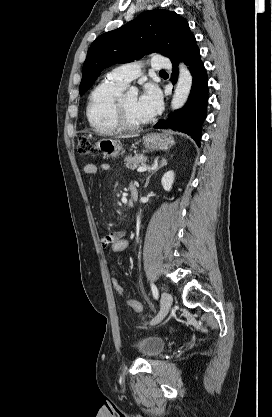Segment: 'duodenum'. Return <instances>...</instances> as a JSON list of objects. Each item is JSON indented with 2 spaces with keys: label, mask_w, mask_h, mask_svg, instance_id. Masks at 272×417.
<instances>
[{
  "label": "duodenum",
  "mask_w": 272,
  "mask_h": 417,
  "mask_svg": "<svg viewBox=\"0 0 272 417\" xmlns=\"http://www.w3.org/2000/svg\"><path fill=\"white\" fill-rule=\"evenodd\" d=\"M138 198V188L136 184L132 183L129 188V201L134 203Z\"/></svg>",
  "instance_id": "obj_1"
}]
</instances>
